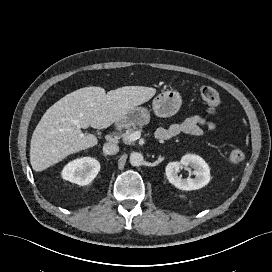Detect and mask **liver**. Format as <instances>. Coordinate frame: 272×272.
I'll list each match as a JSON object with an SVG mask.
<instances>
[{"mask_svg": "<svg viewBox=\"0 0 272 272\" xmlns=\"http://www.w3.org/2000/svg\"><path fill=\"white\" fill-rule=\"evenodd\" d=\"M155 93V88L144 86H125L107 93L102 87L91 86L67 94L44 113L33 132V170L41 172L70 154L97 145L96 136L82 133L81 128H107Z\"/></svg>", "mask_w": 272, "mask_h": 272, "instance_id": "liver-1", "label": "liver"}]
</instances>
